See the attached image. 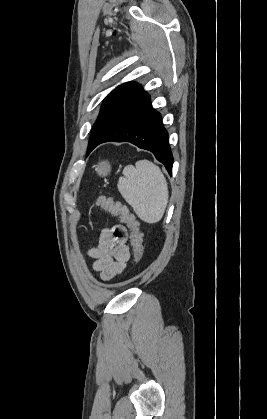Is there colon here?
I'll return each instance as SVG.
<instances>
[{
    "label": "colon",
    "mask_w": 267,
    "mask_h": 419,
    "mask_svg": "<svg viewBox=\"0 0 267 419\" xmlns=\"http://www.w3.org/2000/svg\"><path fill=\"white\" fill-rule=\"evenodd\" d=\"M97 206L113 216L120 218L131 232V243L134 250L135 262L138 263L143 256L144 247L142 242V233L139 229V224L135 217L129 212L127 207L122 203L105 196H98L95 200Z\"/></svg>",
    "instance_id": "colon-1"
}]
</instances>
